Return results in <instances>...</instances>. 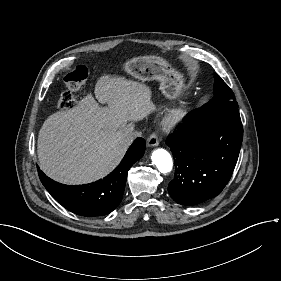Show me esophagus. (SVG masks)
<instances>
[{
	"label": "esophagus",
	"instance_id": "34e87169",
	"mask_svg": "<svg viewBox=\"0 0 281 281\" xmlns=\"http://www.w3.org/2000/svg\"><path fill=\"white\" fill-rule=\"evenodd\" d=\"M148 147H156L159 145V138L156 133L151 134L147 143Z\"/></svg>",
	"mask_w": 281,
	"mask_h": 281
}]
</instances>
